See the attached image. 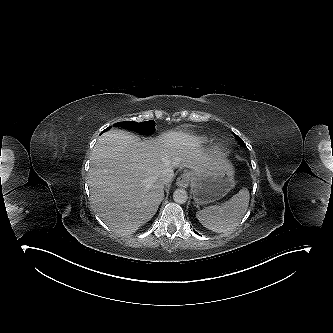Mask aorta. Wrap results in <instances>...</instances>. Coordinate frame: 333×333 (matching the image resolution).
Masks as SVG:
<instances>
[{
  "mask_svg": "<svg viewBox=\"0 0 333 333\" xmlns=\"http://www.w3.org/2000/svg\"><path fill=\"white\" fill-rule=\"evenodd\" d=\"M173 199L176 203L184 204L188 199V194L185 189H177L173 193Z\"/></svg>",
  "mask_w": 333,
  "mask_h": 333,
  "instance_id": "obj_1",
  "label": "aorta"
}]
</instances>
